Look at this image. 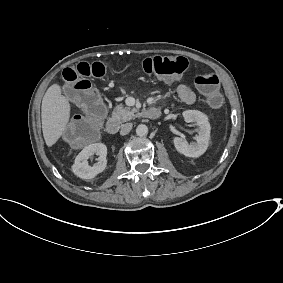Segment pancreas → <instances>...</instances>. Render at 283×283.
Instances as JSON below:
<instances>
[{
    "instance_id": "1",
    "label": "pancreas",
    "mask_w": 283,
    "mask_h": 283,
    "mask_svg": "<svg viewBox=\"0 0 283 283\" xmlns=\"http://www.w3.org/2000/svg\"><path fill=\"white\" fill-rule=\"evenodd\" d=\"M139 116L140 113L136 108L130 109L128 107H124L122 104L117 105L112 112V119L120 123L127 122Z\"/></svg>"
}]
</instances>
